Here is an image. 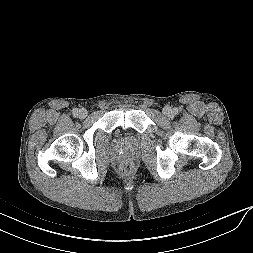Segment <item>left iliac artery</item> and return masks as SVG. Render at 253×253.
Listing matches in <instances>:
<instances>
[{
	"label": "left iliac artery",
	"instance_id": "1",
	"mask_svg": "<svg viewBox=\"0 0 253 253\" xmlns=\"http://www.w3.org/2000/svg\"><path fill=\"white\" fill-rule=\"evenodd\" d=\"M178 113V110L177 109H174V114H177Z\"/></svg>",
	"mask_w": 253,
	"mask_h": 253
}]
</instances>
